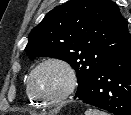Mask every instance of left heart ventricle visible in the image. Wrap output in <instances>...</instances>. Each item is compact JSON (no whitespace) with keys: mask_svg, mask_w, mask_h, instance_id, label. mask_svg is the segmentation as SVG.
<instances>
[{"mask_svg":"<svg viewBox=\"0 0 131 115\" xmlns=\"http://www.w3.org/2000/svg\"><path fill=\"white\" fill-rule=\"evenodd\" d=\"M66 74L58 66L49 65L41 68L33 77L32 86L42 98L57 96L66 85Z\"/></svg>","mask_w":131,"mask_h":115,"instance_id":"1","label":"left heart ventricle"}]
</instances>
